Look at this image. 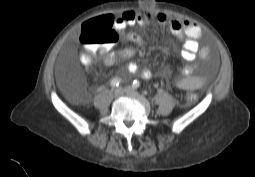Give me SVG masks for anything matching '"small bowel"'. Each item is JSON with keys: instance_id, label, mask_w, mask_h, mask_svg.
Segmentation results:
<instances>
[{"instance_id": "obj_1", "label": "small bowel", "mask_w": 255, "mask_h": 177, "mask_svg": "<svg viewBox=\"0 0 255 177\" xmlns=\"http://www.w3.org/2000/svg\"><path fill=\"white\" fill-rule=\"evenodd\" d=\"M105 16L117 33L123 35L134 44L132 47L116 51L93 50L94 53L102 54L107 64H114L119 60L129 59L137 53L138 48L142 44V40L134 33H126L128 27L134 25L147 26L158 23L168 27L170 32L180 39L182 42L181 57L191 63L181 69L180 77L172 80L171 86L181 90H198L205 85L206 78L194 74L196 66L193 62L197 57L207 59L210 53L209 46L201 47L198 42L202 34L201 28L198 25L190 21L174 19L165 14H154L149 10H126L117 17L112 15ZM84 64L88 67L89 61L85 59ZM127 70L131 74H141L146 79L151 77L150 71L141 70L135 62H129L127 64ZM164 75L166 76L168 73L164 72Z\"/></svg>"}]
</instances>
